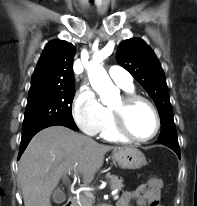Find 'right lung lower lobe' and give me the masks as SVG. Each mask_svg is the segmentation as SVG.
Masks as SVG:
<instances>
[{
  "label": "right lung lower lobe",
  "mask_w": 197,
  "mask_h": 206,
  "mask_svg": "<svg viewBox=\"0 0 197 206\" xmlns=\"http://www.w3.org/2000/svg\"><path fill=\"white\" fill-rule=\"evenodd\" d=\"M55 125H61V126H65L68 127L72 130H78L76 124H69V123H62V122H55V123H46V124H42L36 128H33L31 130H28L26 132L22 133V138H21V144H20V150H19V157L22 155V153L24 152V150L26 149L27 145L29 144L30 140L32 139V137L38 133L39 131H41L44 128L50 127V126H55Z\"/></svg>",
  "instance_id": "obj_1"
}]
</instances>
